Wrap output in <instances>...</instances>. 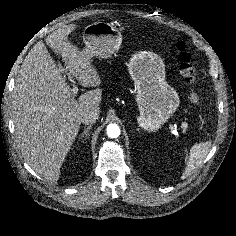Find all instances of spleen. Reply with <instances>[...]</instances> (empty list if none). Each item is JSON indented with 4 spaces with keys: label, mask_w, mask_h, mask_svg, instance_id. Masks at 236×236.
I'll list each match as a JSON object with an SVG mask.
<instances>
[{
    "label": "spleen",
    "mask_w": 236,
    "mask_h": 236,
    "mask_svg": "<svg viewBox=\"0 0 236 236\" xmlns=\"http://www.w3.org/2000/svg\"><path fill=\"white\" fill-rule=\"evenodd\" d=\"M210 148L211 142L209 141L195 144L191 148L181 179H185L190 176L192 172L202 164V162L208 155Z\"/></svg>",
    "instance_id": "1"
}]
</instances>
